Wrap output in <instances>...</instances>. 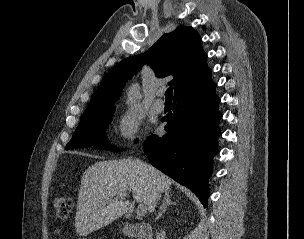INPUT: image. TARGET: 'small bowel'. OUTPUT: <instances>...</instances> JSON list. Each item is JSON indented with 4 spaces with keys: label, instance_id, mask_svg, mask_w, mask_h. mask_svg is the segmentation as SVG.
I'll use <instances>...</instances> for the list:
<instances>
[{
    "label": "small bowel",
    "instance_id": "obj_1",
    "mask_svg": "<svg viewBox=\"0 0 304 239\" xmlns=\"http://www.w3.org/2000/svg\"><path fill=\"white\" fill-rule=\"evenodd\" d=\"M62 230L60 228L56 229L54 232V238L58 239L61 236Z\"/></svg>",
    "mask_w": 304,
    "mask_h": 239
}]
</instances>
